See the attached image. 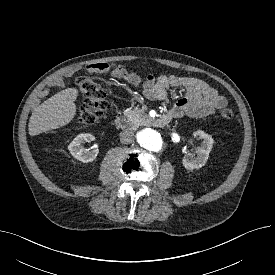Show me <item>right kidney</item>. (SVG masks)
Instances as JSON below:
<instances>
[{
	"mask_svg": "<svg viewBox=\"0 0 275 275\" xmlns=\"http://www.w3.org/2000/svg\"><path fill=\"white\" fill-rule=\"evenodd\" d=\"M95 140V137L92 134L84 133L76 136L73 141L68 145V150L71 155L83 163L92 162L96 159L98 155V149L92 151L81 148V144L85 141L90 142Z\"/></svg>",
	"mask_w": 275,
	"mask_h": 275,
	"instance_id": "obj_1",
	"label": "right kidney"
}]
</instances>
